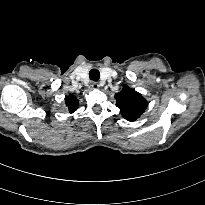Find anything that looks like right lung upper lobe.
I'll use <instances>...</instances> for the list:
<instances>
[{"instance_id":"cb5924a9","label":"right lung upper lobe","mask_w":205,"mask_h":205,"mask_svg":"<svg viewBox=\"0 0 205 205\" xmlns=\"http://www.w3.org/2000/svg\"><path fill=\"white\" fill-rule=\"evenodd\" d=\"M65 103L66 106L69 109L70 113H73L74 111L77 110V106H78V99L75 96L69 95L65 98Z\"/></svg>"}]
</instances>
